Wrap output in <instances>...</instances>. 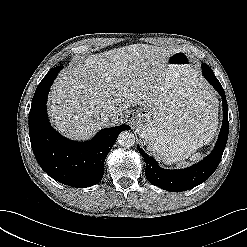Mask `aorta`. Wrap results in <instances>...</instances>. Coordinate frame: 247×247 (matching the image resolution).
Segmentation results:
<instances>
[{"label":"aorta","mask_w":247,"mask_h":247,"mask_svg":"<svg viewBox=\"0 0 247 247\" xmlns=\"http://www.w3.org/2000/svg\"><path fill=\"white\" fill-rule=\"evenodd\" d=\"M118 144L125 148H130L135 144V136L130 131H123L118 136Z\"/></svg>","instance_id":"1"}]
</instances>
